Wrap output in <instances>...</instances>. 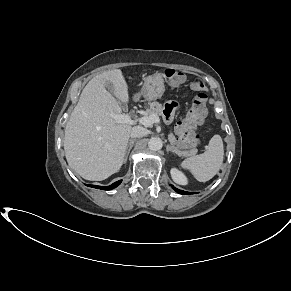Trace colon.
Here are the masks:
<instances>
[{"label": "colon", "instance_id": "5ec220e1", "mask_svg": "<svg viewBox=\"0 0 291 291\" xmlns=\"http://www.w3.org/2000/svg\"><path fill=\"white\" fill-rule=\"evenodd\" d=\"M165 77L173 84L177 85L184 80V74L175 69L165 70ZM193 86L197 89L202 87V81L196 79ZM207 95L203 91H199L193 101L184 121L177 127L179 145L188 150L195 149L201 140V134L197 131L198 127L203 123L207 113Z\"/></svg>", "mask_w": 291, "mask_h": 291}]
</instances>
